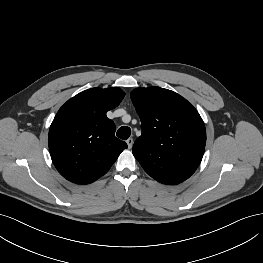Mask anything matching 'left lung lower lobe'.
Segmentation results:
<instances>
[{
  "label": "left lung lower lobe",
  "mask_w": 263,
  "mask_h": 263,
  "mask_svg": "<svg viewBox=\"0 0 263 263\" xmlns=\"http://www.w3.org/2000/svg\"><path fill=\"white\" fill-rule=\"evenodd\" d=\"M190 176L191 174L179 170L177 168L167 167L164 168L161 172H159V174L155 176L154 179L160 183L176 185L185 181Z\"/></svg>",
  "instance_id": "0a47b994"
}]
</instances>
